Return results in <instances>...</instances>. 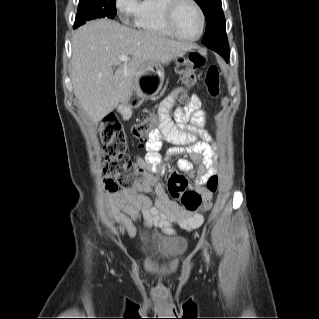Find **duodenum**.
Listing matches in <instances>:
<instances>
[{
    "label": "duodenum",
    "instance_id": "1",
    "mask_svg": "<svg viewBox=\"0 0 319 319\" xmlns=\"http://www.w3.org/2000/svg\"><path fill=\"white\" fill-rule=\"evenodd\" d=\"M133 109V104L132 103H127L123 107L120 108V113L123 116L129 115L130 111Z\"/></svg>",
    "mask_w": 319,
    "mask_h": 319
}]
</instances>
